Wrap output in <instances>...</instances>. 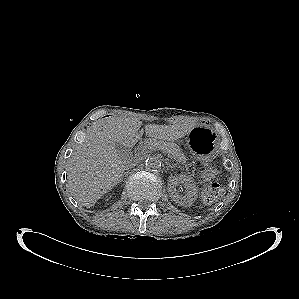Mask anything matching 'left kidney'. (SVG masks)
<instances>
[{"label": "left kidney", "mask_w": 299, "mask_h": 299, "mask_svg": "<svg viewBox=\"0 0 299 299\" xmlns=\"http://www.w3.org/2000/svg\"><path fill=\"white\" fill-rule=\"evenodd\" d=\"M184 183L187 193L185 196H181L176 192L177 184ZM168 192L173 200L182 206H191L197 198V187L194 180L187 175L170 176L168 178Z\"/></svg>", "instance_id": "5707ae66"}]
</instances>
